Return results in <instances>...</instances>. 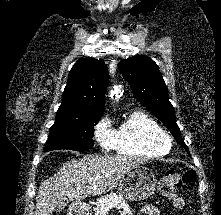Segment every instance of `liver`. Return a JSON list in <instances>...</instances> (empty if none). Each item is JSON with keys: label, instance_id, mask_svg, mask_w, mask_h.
I'll list each match as a JSON object with an SVG mask.
<instances>
[{"label": "liver", "instance_id": "1", "mask_svg": "<svg viewBox=\"0 0 221 215\" xmlns=\"http://www.w3.org/2000/svg\"><path fill=\"white\" fill-rule=\"evenodd\" d=\"M144 161L121 155H86L64 163L43 181L36 196L35 215H52L57 202L80 201L112 190L131 169Z\"/></svg>", "mask_w": 221, "mask_h": 215}]
</instances>
